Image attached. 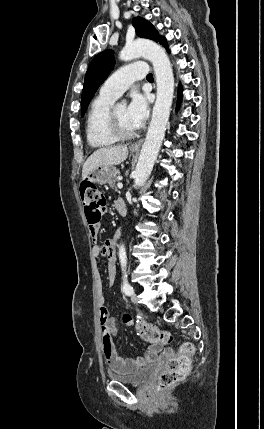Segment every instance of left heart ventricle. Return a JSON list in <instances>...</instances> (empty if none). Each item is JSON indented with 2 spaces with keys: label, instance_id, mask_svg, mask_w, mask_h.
I'll return each mask as SVG.
<instances>
[{
  "label": "left heart ventricle",
  "instance_id": "1",
  "mask_svg": "<svg viewBox=\"0 0 264 429\" xmlns=\"http://www.w3.org/2000/svg\"><path fill=\"white\" fill-rule=\"evenodd\" d=\"M116 115L120 125L125 131L132 132L136 130V128L132 125V123L128 119L126 106H123V105L117 106Z\"/></svg>",
  "mask_w": 264,
  "mask_h": 429
}]
</instances>
